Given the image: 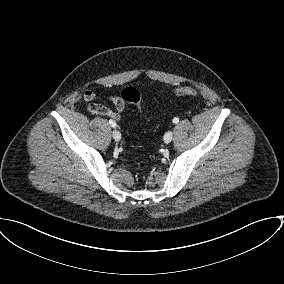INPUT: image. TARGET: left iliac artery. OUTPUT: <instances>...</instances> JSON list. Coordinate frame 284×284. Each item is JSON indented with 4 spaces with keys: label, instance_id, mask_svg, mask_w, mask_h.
Wrapping results in <instances>:
<instances>
[{
    "label": "left iliac artery",
    "instance_id": "obj_1",
    "mask_svg": "<svg viewBox=\"0 0 284 284\" xmlns=\"http://www.w3.org/2000/svg\"><path fill=\"white\" fill-rule=\"evenodd\" d=\"M178 122H179V118L175 117V118L173 119V123L177 124Z\"/></svg>",
    "mask_w": 284,
    "mask_h": 284
}]
</instances>
